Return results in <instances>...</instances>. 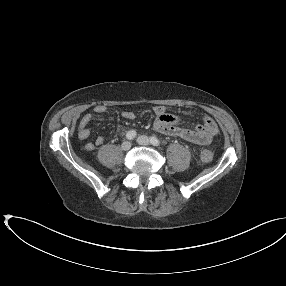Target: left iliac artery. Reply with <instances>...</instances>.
<instances>
[{"instance_id":"obj_1","label":"left iliac artery","mask_w":286,"mask_h":286,"mask_svg":"<svg viewBox=\"0 0 286 286\" xmlns=\"http://www.w3.org/2000/svg\"><path fill=\"white\" fill-rule=\"evenodd\" d=\"M150 143L154 146H160V141L155 136L150 138Z\"/></svg>"}]
</instances>
